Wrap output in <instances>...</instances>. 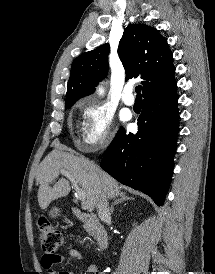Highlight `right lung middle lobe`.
I'll list each match as a JSON object with an SVG mask.
<instances>
[{"label":"right lung middle lobe","instance_id":"dd1d6c3e","mask_svg":"<svg viewBox=\"0 0 215 274\" xmlns=\"http://www.w3.org/2000/svg\"><path fill=\"white\" fill-rule=\"evenodd\" d=\"M72 106V104L71 105H65V109H68V108H70Z\"/></svg>","mask_w":215,"mask_h":274}]
</instances>
